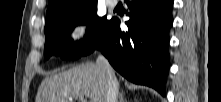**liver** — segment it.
Wrapping results in <instances>:
<instances>
[{"label":"liver","mask_w":221,"mask_h":102,"mask_svg":"<svg viewBox=\"0 0 221 102\" xmlns=\"http://www.w3.org/2000/svg\"><path fill=\"white\" fill-rule=\"evenodd\" d=\"M106 92V70L97 63H86L46 77L38 89L36 102H73L69 98L84 96L90 102H106Z\"/></svg>","instance_id":"1"}]
</instances>
